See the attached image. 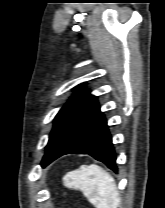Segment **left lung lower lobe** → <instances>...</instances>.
Listing matches in <instances>:
<instances>
[{"label": "left lung lower lobe", "mask_w": 165, "mask_h": 208, "mask_svg": "<svg viewBox=\"0 0 165 208\" xmlns=\"http://www.w3.org/2000/svg\"><path fill=\"white\" fill-rule=\"evenodd\" d=\"M65 154H88L117 172L116 155L107 121L99 110L80 129Z\"/></svg>", "instance_id": "0a47b994"}]
</instances>
